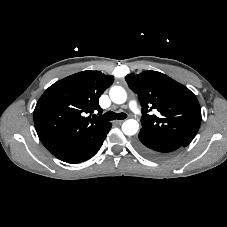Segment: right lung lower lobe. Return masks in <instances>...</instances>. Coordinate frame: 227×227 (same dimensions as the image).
<instances>
[{
	"label": "right lung lower lobe",
	"instance_id": "right-lung-lower-lobe-1",
	"mask_svg": "<svg viewBox=\"0 0 227 227\" xmlns=\"http://www.w3.org/2000/svg\"><path fill=\"white\" fill-rule=\"evenodd\" d=\"M111 126L112 124L110 123L98 136L88 139L80 147L65 151L56 157L72 164L88 160L98 152Z\"/></svg>",
	"mask_w": 227,
	"mask_h": 227
}]
</instances>
